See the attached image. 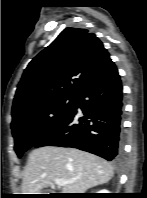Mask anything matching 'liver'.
Returning a JSON list of instances; mask_svg holds the SVG:
<instances>
[{"mask_svg":"<svg viewBox=\"0 0 147 198\" xmlns=\"http://www.w3.org/2000/svg\"><path fill=\"white\" fill-rule=\"evenodd\" d=\"M114 175L111 163L75 148L44 146L33 150L24 169L22 194H42L55 179L69 181L61 193H84L107 183Z\"/></svg>","mask_w":147,"mask_h":198,"instance_id":"1","label":"liver"}]
</instances>
